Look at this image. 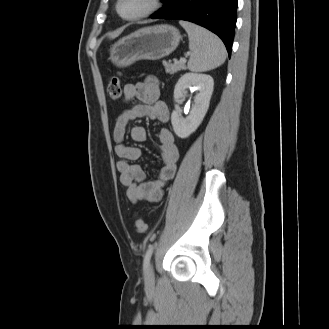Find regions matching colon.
Returning a JSON list of instances; mask_svg holds the SVG:
<instances>
[{
    "label": "colon",
    "mask_w": 329,
    "mask_h": 329,
    "mask_svg": "<svg viewBox=\"0 0 329 329\" xmlns=\"http://www.w3.org/2000/svg\"><path fill=\"white\" fill-rule=\"evenodd\" d=\"M121 92L120 75L110 76L107 82V93L110 99L117 101L121 96ZM135 230L138 234H144L147 231V224L140 217L135 220Z\"/></svg>",
    "instance_id": "colon-1"
}]
</instances>
